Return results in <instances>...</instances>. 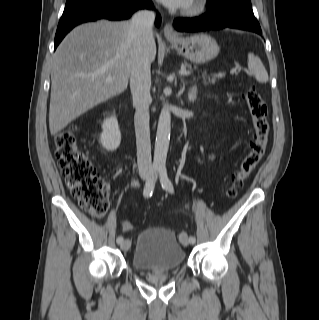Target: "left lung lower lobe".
<instances>
[{
    "instance_id": "1",
    "label": "left lung lower lobe",
    "mask_w": 319,
    "mask_h": 320,
    "mask_svg": "<svg viewBox=\"0 0 319 320\" xmlns=\"http://www.w3.org/2000/svg\"><path fill=\"white\" fill-rule=\"evenodd\" d=\"M173 25L178 31L195 32L229 27L262 35L250 0L209 1L207 13L195 18H178Z\"/></svg>"
}]
</instances>
